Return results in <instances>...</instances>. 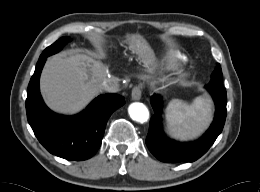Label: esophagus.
Here are the masks:
<instances>
[{
	"label": "esophagus",
	"instance_id": "1",
	"mask_svg": "<svg viewBox=\"0 0 260 192\" xmlns=\"http://www.w3.org/2000/svg\"><path fill=\"white\" fill-rule=\"evenodd\" d=\"M141 94H142L141 87L140 86H135L132 89V92H131L132 100H140Z\"/></svg>",
	"mask_w": 260,
	"mask_h": 192
}]
</instances>
